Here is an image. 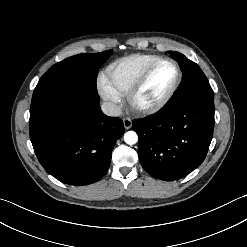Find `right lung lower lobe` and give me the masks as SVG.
Listing matches in <instances>:
<instances>
[{"instance_id": "right-lung-lower-lobe-1", "label": "right lung lower lobe", "mask_w": 247, "mask_h": 247, "mask_svg": "<svg viewBox=\"0 0 247 247\" xmlns=\"http://www.w3.org/2000/svg\"><path fill=\"white\" fill-rule=\"evenodd\" d=\"M29 129L43 168L76 186L106 174L113 147L125 132L120 118L106 116L99 101L86 96L60 98L30 113Z\"/></svg>"}]
</instances>
